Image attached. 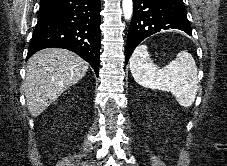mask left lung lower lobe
<instances>
[{
  "label": "left lung lower lobe",
  "mask_w": 227,
  "mask_h": 166,
  "mask_svg": "<svg viewBox=\"0 0 227 166\" xmlns=\"http://www.w3.org/2000/svg\"><path fill=\"white\" fill-rule=\"evenodd\" d=\"M131 20L126 48L127 63L136 46L145 38L163 30L179 29L192 34L182 0H133Z\"/></svg>",
  "instance_id": "obj_1"
}]
</instances>
